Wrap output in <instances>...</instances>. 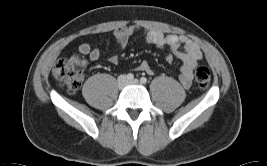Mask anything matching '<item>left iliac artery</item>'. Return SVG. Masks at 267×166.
I'll list each match as a JSON object with an SVG mask.
<instances>
[{
  "instance_id": "obj_1",
  "label": "left iliac artery",
  "mask_w": 267,
  "mask_h": 166,
  "mask_svg": "<svg viewBox=\"0 0 267 166\" xmlns=\"http://www.w3.org/2000/svg\"><path fill=\"white\" fill-rule=\"evenodd\" d=\"M140 82L143 83V84H145V83H147V79H146L145 77H142V78L140 79Z\"/></svg>"
}]
</instances>
